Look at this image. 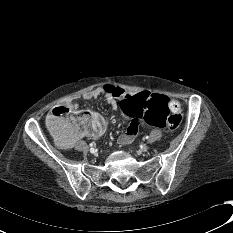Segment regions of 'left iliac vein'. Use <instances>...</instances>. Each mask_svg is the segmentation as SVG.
<instances>
[{"instance_id":"obj_1","label":"left iliac vein","mask_w":233,"mask_h":233,"mask_svg":"<svg viewBox=\"0 0 233 233\" xmlns=\"http://www.w3.org/2000/svg\"><path fill=\"white\" fill-rule=\"evenodd\" d=\"M149 149L148 145L144 144L142 147H141V152H147Z\"/></svg>"}]
</instances>
